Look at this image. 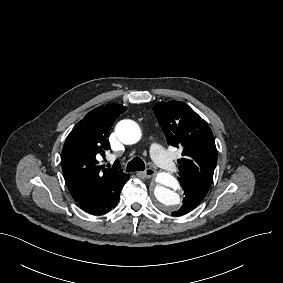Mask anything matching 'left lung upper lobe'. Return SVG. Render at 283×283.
Segmentation results:
<instances>
[{
	"instance_id": "1",
	"label": "left lung upper lobe",
	"mask_w": 283,
	"mask_h": 283,
	"mask_svg": "<svg viewBox=\"0 0 283 283\" xmlns=\"http://www.w3.org/2000/svg\"><path fill=\"white\" fill-rule=\"evenodd\" d=\"M154 111L168 144L183 148V158L178 160L179 178L199 181L210 187L217 149L208 124L180 101L158 102Z\"/></svg>"
}]
</instances>
